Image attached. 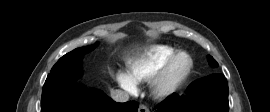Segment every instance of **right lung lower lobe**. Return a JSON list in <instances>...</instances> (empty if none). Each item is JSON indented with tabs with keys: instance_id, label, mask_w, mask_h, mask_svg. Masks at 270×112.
Wrapping results in <instances>:
<instances>
[{
	"instance_id": "98d812e1",
	"label": "right lung lower lobe",
	"mask_w": 270,
	"mask_h": 112,
	"mask_svg": "<svg viewBox=\"0 0 270 112\" xmlns=\"http://www.w3.org/2000/svg\"><path fill=\"white\" fill-rule=\"evenodd\" d=\"M67 80L61 84L45 82L41 112H137L138 103H116L102 91L78 86Z\"/></svg>"
}]
</instances>
